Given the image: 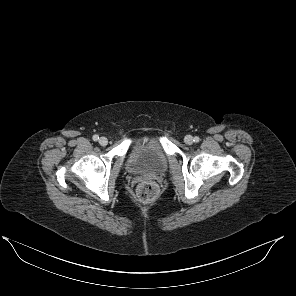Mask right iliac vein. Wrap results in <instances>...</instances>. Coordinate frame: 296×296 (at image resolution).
Returning <instances> with one entry per match:
<instances>
[{
  "label": "right iliac vein",
  "instance_id": "1",
  "mask_svg": "<svg viewBox=\"0 0 296 296\" xmlns=\"http://www.w3.org/2000/svg\"><path fill=\"white\" fill-rule=\"evenodd\" d=\"M99 144H100L101 146H106V145L108 144V140H107V138H106V137H101V138L99 139Z\"/></svg>",
  "mask_w": 296,
  "mask_h": 296
}]
</instances>
